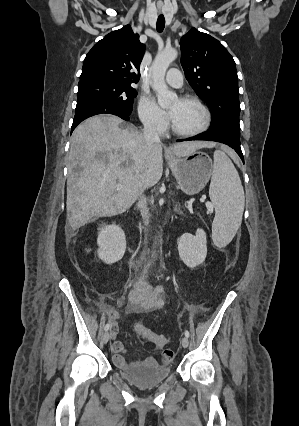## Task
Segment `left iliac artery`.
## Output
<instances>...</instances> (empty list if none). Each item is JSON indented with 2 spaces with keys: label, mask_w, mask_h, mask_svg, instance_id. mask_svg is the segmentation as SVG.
I'll list each match as a JSON object with an SVG mask.
<instances>
[{
  "label": "left iliac artery",
  "mask_w": 299,
  "mask_h": 426,
  "mask_svg": "<svg viewBox=\"0 0 299 426\" xmlns=\"http://www.w3.org/2000/svg\"><path fill=\"white\" fill-rule=\"evenodd\" d=\"M184 334H185L186 337H189V335H190L188 330H185Z\"/></svg>",
  "instance_id": "1"
}]
</instances>
